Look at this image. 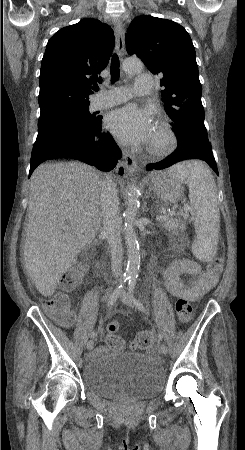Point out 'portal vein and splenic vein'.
I'll use <instances>...</instances> for the list:
<instances>
[{"mask_svg":"<svg viewBox=\"0 0 245 450\" xmlns=\"http://www.w3.org/2000/svg\"><path fill=\"white\" fill-rule=\"evenodd\" d=\"M183 209H184V211H189L190 210V206L186 203V204H184ZM175 214H176L175 211H171V212L168 213V215H160V216H158L157 220L159 222H162V221L166 220L169 216H173Z\"/></svg>","mask_w":245,"mask_h":450,"instance_id":"portal-vein-and-splenic-vein-1","label":"portal vein and splenic vein"}]
</instances>
